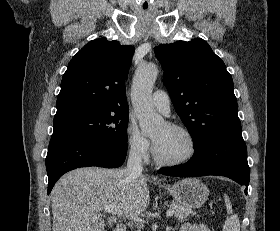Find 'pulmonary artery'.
I'll return each mask as SVG.
<instances>
[{
	"mask_svg": "<svg viewBox=\"0 0 280 231\" xmlns=\"http://www.w3.org/2000/svg\"><path fill=\"white\" fill-rule=\"evenodd\" d=\"M152 104L163 114L168 115L170 113V99L166 91L156 90L152 95Z\"/></svg>",
	"mask_w": 280,
	"mask_h": 231,
	"instance_id": "1",
	"label": "pulmonary artery"
}]
</instances>
